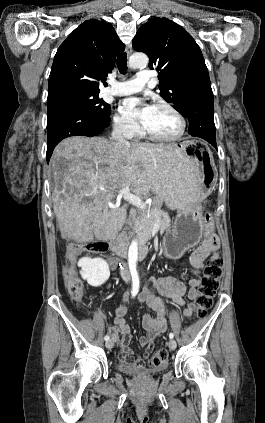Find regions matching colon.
Segmentation results:
<instances>
[{"label": "colon", "mask_w": 265, "mask_h": 423, "mask_svg": "<svg viewBox=\"0 0 265 423\" xmlns=\"http://www.w3.org/2000/svg\"><path fill=\"white\" fill-rule=\"evenodd\" d=\"M213 231L212 220L208 216L205 235H211ZM85 249L94 253H104L108 251V243L106 241H94L87 243ZM223 273V261L219 256L211 257L205 267V274L200 283V290L196 297L197 307L195 310L196 317L203 319L206 317L208 310L212 307L213 298L219 288L220 279ZM64 283L69 294L79 299L83 295V285L79 277L76 275L73 266L68 267L64 272ZM168 358V351L160 348L152 354L149 359L151 367L162 366Z\"/></svg>", "instance_id": "1"}]
</instances>
